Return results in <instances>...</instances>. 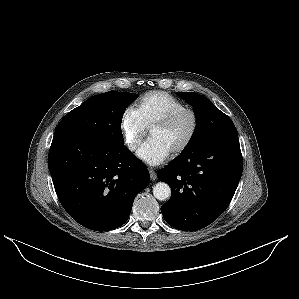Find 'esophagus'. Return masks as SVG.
<instances>
[{"label": "esophagus", "mask_w": 299, "mask_h": 299, "mask_svg": "<svg viewBox=\"0 0 299 299\" xmlns=\"http://www.w3.org/2000/svg\"><path fill=\"white\" fill-rule=\"evenodd\" d=\"M149 173L152 180L157 178L156 172L153 169H149Z\"/></svg>", "instance_id": "obj_1"}]
</instances>
